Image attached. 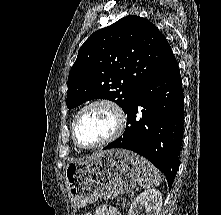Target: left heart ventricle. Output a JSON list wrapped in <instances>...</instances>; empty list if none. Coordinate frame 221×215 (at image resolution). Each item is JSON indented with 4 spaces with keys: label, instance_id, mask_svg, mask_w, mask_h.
<instances>
[{
    "label": "left heart ventricle",
    "instance_id": "obj_1",
    "mask_svg": "<svg viewBox=\"0 0 221 215\" xmlns=\"http://www.w3.org/2000/svg\"><path fill=\"white\" fill-rule=\"evenodd\" d=\"M115 126L116 119L110 108L93 106L80 116L76 126L77 138L83 145H94L110 136Z\"/></svg>",
    "mask_w": 221,
    "mask_h": 215
}]
</instances>
